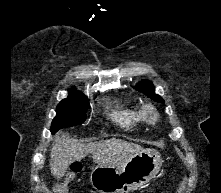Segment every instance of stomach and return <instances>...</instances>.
<instances>
[{"label":"stomach","instance_id":"1","mask_svg":"<svg viewBox=\"0 0 221 193\" xmlns=\"http://www.w3.org/2000/svg\"><path fill=\"white\" fill-rule=\"evenodd\" d=\"M162 162L156 150H142L120 166L92 168L90 182L99 193H129L148 183L159 172Z\"/></svg>","mask_w":221,"mask_h":193}]
</instances>
